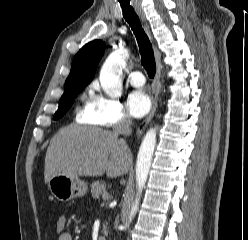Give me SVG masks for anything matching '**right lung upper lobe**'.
Listing matches in <instances>:
<instances>
[{"instance_id":"obj_1","label":"right lung upper lobe","mask_w":248,"mask_h":240,"mask_svg":"<svg viewBox=\"0 0 248 240\" xmlns=\"http://www.w3.org/2000/svg\"><path fill=\"white\" fill-rule=\"evenodd\" d=\"M104 50L105 43L102 40H94L84 45L73 59L65 85L70 82L88 85L95 75Z\"/></svg>"}]
</instances>
